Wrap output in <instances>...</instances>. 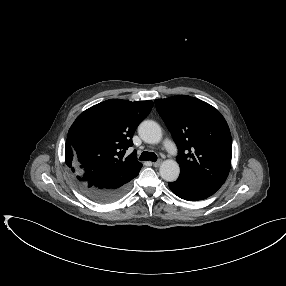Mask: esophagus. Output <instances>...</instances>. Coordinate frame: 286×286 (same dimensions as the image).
I'll use <instances>...</instances> for the list:
<instances>
[{
    "label": "esophagus",
    "instance_id": "1",
    "mask_svg": "<svg viewBox=\"0 0 286 286\" xmlns=\"http://www.w3.org/2000/svg\"><path fill=\"white\" fill-rule=\"evenodd\" d=\"M162 161L161 160H158L156 162H153V166L154 167H159L161 165Z\"/></svg>",
    "mask_w": 286,
    "mask_h": 286
}]
</instances>
